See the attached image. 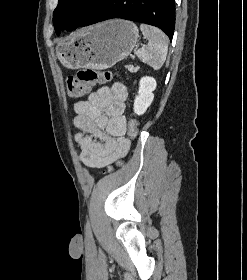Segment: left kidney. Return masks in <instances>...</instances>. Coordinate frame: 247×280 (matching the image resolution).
I'll return each mask as SVG.
<instances>
[{
    "instance_id": "left-kidney-1",
    "label": "left kidney",
    "mask_w": 247,
    "mask_h": 280,
    "mask_svg": "<svg viewBox=\"0 0 247 280\" xmlns=\"http://www.w3.org/2000/svg\"><path fill=\"white\" fill-rule=\"evenodd\" d=\"M156 80L152 77H143L139 82L138 95L134 100V112L137 115H142L146 112L147 108L151 105L156 89Z\"/></svg>"
}]
</instances>
